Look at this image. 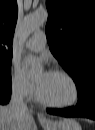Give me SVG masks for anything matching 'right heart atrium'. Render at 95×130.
Here are the masks:
<instances>
[{"mask_svg":"<svg viewBox=\"0 0 95 130\" xmlns=\"http://www.w3.org/2000/svg\"><path fill=\"white\" fill-rule=\"evenodd\" d=\"M11 89L14 95L22 99H31L36 91L35 85L15 67L11 75Z\"/></svg>","mask_w":95,"mask_h":130,"instance_id":"1","label":"right heart atrium"}]
</instances>
